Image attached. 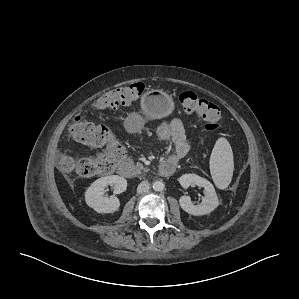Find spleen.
<instances>
[{
	"label": "spleen",
	"instance_id": "3e777b00",
	"mask_svg": "<svg viewBox=\"0 0 299 299\" xmlns=\"http://www.w3.org/2000/svg\"><path fill=\"white\" fill-rule=\"evenodd\" d=\"M210 171L215 184L225 189L231 182L234 161L232 148L226 138H219L210 156Z\"/></svg>",
	"mask_w": 299,
	"mask_h": 299
}]
</instances>
